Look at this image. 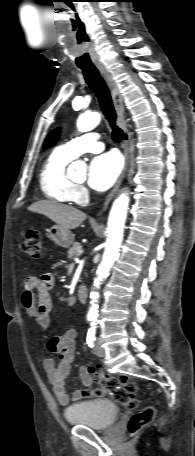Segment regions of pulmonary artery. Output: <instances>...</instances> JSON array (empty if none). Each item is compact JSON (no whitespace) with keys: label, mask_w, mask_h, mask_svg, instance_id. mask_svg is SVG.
Wrapping results in <instances>:
<instances>
[{"label":"pulmonary artery","mask_w":195,"mask_h":456,"mask_svg":"<svg viewBox=\"0 0 195 456\" xmlns=\"http://www.w3.org/2000/svg\"><path fill=\"white\" fill-rule=\"evenodd\" d=\"M59 148L74 159L86 152H100L104 149V144L100 141L99 135L92 132L76 137Z\"/></svg>","instance_id":"e3ab8cb5"}]
</instances>
